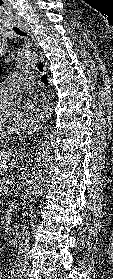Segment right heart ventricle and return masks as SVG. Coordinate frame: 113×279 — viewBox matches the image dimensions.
Wrapping results in <instances>:
<instances>
[{
  "label": "right heart ventricle",
  "mask_w": 113,
  "mask_h": 279,
  "mask_svg": "<svg viewBox=\"0 0 113 279\" xmlns=\"http://www.w3.org/2000/svg\"><path fill=\"white\" fill-rule=\"evenodd\" d=\"M8 100L9 98L6 97L5 95H3L2 93H0V109L5 106L6 104H8ZM7 142V140L3 139L0 136V147L3 146L5 143Z\"/></svg>",
  "instance_id": "right-heart-ventricle-1"
}]
</instances>
